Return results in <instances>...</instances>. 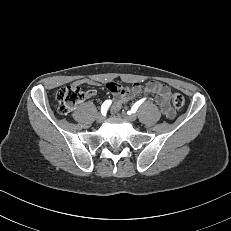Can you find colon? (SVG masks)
<instances>
[{
  "label": "colon",
  "instance_id": "colon-1",
  "mask_svg": "<svg viewBox=\"0 0 231 231\" xmlns=\"http://www.w3.org/2000/svg\"><path fill=\"white\" fill-rule=\"evenodd\" d=\"M85 93L78 85H69L60 88L55 99L58 104V109L62 114H68L83 100ZM173 105L180 109L185 105V98L180 93L173 94Z\"/></svg>",
  "mask_w": 231,
  "mask_h": 231
}]
</instances>
